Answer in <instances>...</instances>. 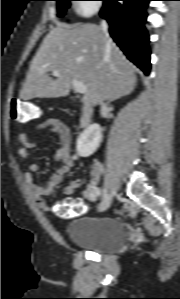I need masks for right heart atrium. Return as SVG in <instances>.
I'll return each mask as SVG.
<instances>
[{"label":"right heart atrium","mask_w":180,"mask_h":299,"mask_svg":"<svg viewBox=\"0 0 180 299\" xmlns=\"http://www.w3.org/2000/svg\"><path fill=\"white\" fill-rule=\"evenodd\" d=\"M75 9L78 15L89 17L96 14L101 9L99 0H77Z\"/></svg>","instance_id":"obj_1"}]
</instances>
